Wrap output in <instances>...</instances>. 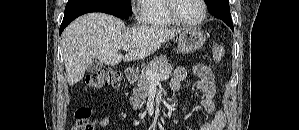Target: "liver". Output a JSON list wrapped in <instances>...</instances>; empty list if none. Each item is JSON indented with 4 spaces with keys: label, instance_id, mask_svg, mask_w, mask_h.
<instances>
[{
    "label": "liver",
    "instance_id": "1",
    "mask_svg": "<svg viewBox=\"0 0 299 130\" xmlns=\"http://www.w3.org/2000/svg\"><path fill=\"white\" fill-rule=\"evenodd\" d=\"M180 29L135 26L104 13H88L74 20L62 34V52L70 86L83 79L93 59L107 65L144 59L180 33ZM131 46L123 55L119 50Z\"/></svg>",
    "mask_w": 299,
    "mask_h": 130
}]
</instances>
